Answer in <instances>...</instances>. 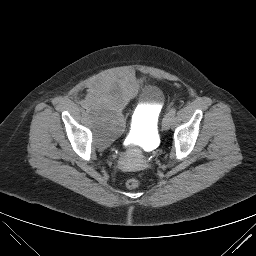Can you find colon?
Wrapping results in <instances>:
<instances>
[{
    "label": "colon",
    "mask_w": 256,
    "mask_h": 256,
    "mask_svg": "<svg viewBox=\"0 0 256 256\" xmlns=\"http://www.w3.org/2000/svg\"><path fill=\"white\" fill-rule=\"evenodd\" d=\"M140 185H141V181L137 178H130L126 182V186L129 189H136L140 187Z\"/></svg>",
    "instance_id": "1"
}]
</instances>
